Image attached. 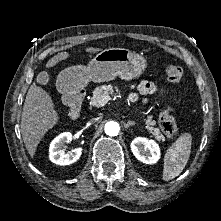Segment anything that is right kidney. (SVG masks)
I'll use <instances>...</instances> for the list:
<instances>
[{
  "label": "right kidney",
  "mask_w": 221,
  "mask_h": 221,
  "mask_svg": "<svg viewBox=\"0 0 221 221\" xmlns=\"http://www.w3.org/2000/svg\"><path fill=\"white\" fill-rule=\"evenodd\" d=\"M72 134L70 132H64L58 135L54 140L50 143L49 147V159L58 165H70L76 162L81 154L82 148H75L69 153H65L62 150L63 144L72 140Z\"/></svg>",
  "instance_id": "right-kidney-1"
}]
</instances>
